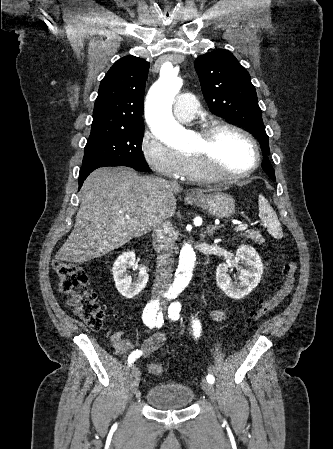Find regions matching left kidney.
I'll return each instance as SVG.
<instances>
[{"mask_svg":"<svg viewBox=\"0 0 333 449\" xmlns=\"http://www.w3.org/2000/svg\"><path fill=\"white\" fill-rule=\"evenodd\" d=\"M239 262L246 265L239 274L240 282L232 281L229 268ZM263 273V264L256 250L248 245H241L236 251L234 260L230 264L222 263L216 269V283L229 297L240 299L248 295L260 282Z\"/></svg>","mask_w":333,"mask_h":449,"instance_id":"5707ae66","label":"left kidney"}]
</instances>
